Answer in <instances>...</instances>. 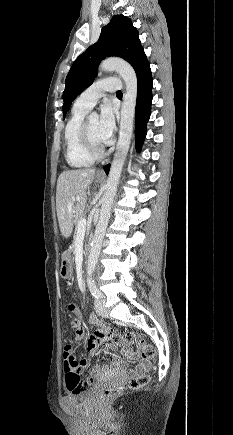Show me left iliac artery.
<instances>
[{
  "mask_svg": "<svg viewBox=\"0 0 233 435\" xmlns=\"http://www.w3.org/2000/svg\"><path fill=\"white\" fill-rule=\"evenodd\" d=\"M87 284H88V287H89V290H90L91 294L95 298H101V292L96 287L94 278H92V277L88 278L87 279Z\"/></svg>",
  "mask_w": 233,
  "mask_h": 435,
  "instance_id": "left-iliac-artery-1",
  "label": "left iliac artery"
}]
</instances>
